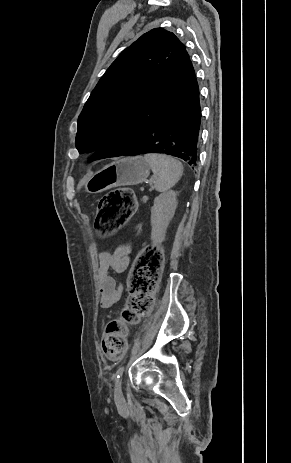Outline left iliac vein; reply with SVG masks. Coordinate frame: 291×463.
I'll return each mask as SVG.
<instances>
[{
    "label": "left iliac vein",
    "mask_w": 291,
    "mask_h": 463,
    "mask_svg": "<svg viewBox=\"0 0 291 463\" xmlns=\"http://www.w3.org/2000/svg\"><path fill=\"white\" fill-rule=\"evenodd\" d=\"M114 400L117 406H122L124 403V397L122 393V379H118L115 383Z\"/></svg>",
    "instance_id": "obj_1"
}]
</instances>
